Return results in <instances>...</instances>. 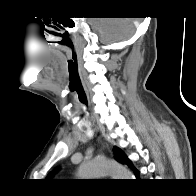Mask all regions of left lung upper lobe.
I'll return each instance as SVG.
<instances>
[{
	"mask_svg": "<svg viewBox=\"0 0 196 196\" xmlns=\"http://www.w3.org/2000/svg\"><path fill=\"white\" fill-rule=\"evenodd\" d=\"M114 155L117 161L127 164L129 167H131V162L129 161V159L126 157V155L123 153L122 150H120L119 148L115 147L114 148ZM57 171V169L53 170L47 177V179H49L55 172Z\"/></svg>",
	"mask_w": 196,
	"mask_h": 196,
	"instance_id": "1",
	"label": "left lung upper lobe"
}]
</instances>
